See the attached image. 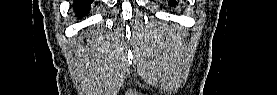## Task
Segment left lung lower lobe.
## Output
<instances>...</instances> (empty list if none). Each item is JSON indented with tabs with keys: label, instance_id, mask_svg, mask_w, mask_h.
I'll return each mask as SVG.
<instances>
[{
	"label": "left lung lower lobe",
	"instance_id": "0a47b994",
	"mask_svg": "<svg viewBox=\"0 0 277 95\" xmlns=\"http://www.w3.org/2000/svg\"><path fill=\"white\" fill-rule=\"evenodd\" d=\"M168 4H169L170 6H174V7H175V5L177 4V2H176V0H169Z\"/></svg>",
	"mask_w": 277,
	"mask_h": 95
}]
</instances>
